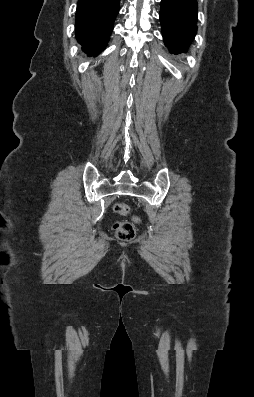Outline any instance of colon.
<instances>
[{
	"label": "colon",
	"instance_id": "colon-1",
	"mask_svg": "<svg viewBox=\"0 0 254 397\" xmlns=\"http://www.w3.org/2000/svg\"><path fill=\"white\" fill-rule=\"evenodd\" d=\"M114 211L120 215H128L131 213L129 205L117 202L114 204ZM113 230L118 239L122 241H130L135 237V229L130 222L117 221L113 224Z\"/></svg>",
	"mask_w": 254,
	"mask_h": 397
}]
</instances>
